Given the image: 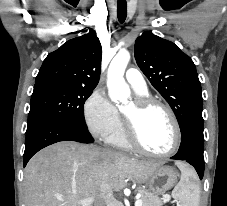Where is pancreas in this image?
I'll use <instances>...</instances> for the list:
<instances>
[{
    "instance_id": "pancreas-1",
    "label": "pancreas",
    "mask_w": 227,
    "mask_h": 206,
    "mask_svg": "<svg viewBox=\"0 0 227 206\" xmlns=\"http://www.w3.org/2000/svg\"><path fill=\"white\" fill-rule=\"evenodd\" d=\"M138 193L141 195L142 206H163V201L155 193L145 189H139Z\"/></svg>"
}]
</instances>
